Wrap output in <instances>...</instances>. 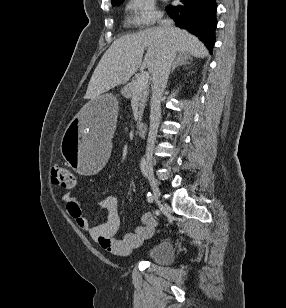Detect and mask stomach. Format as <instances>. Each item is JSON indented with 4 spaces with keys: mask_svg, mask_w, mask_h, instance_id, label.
Listing matches in <instances>:
<instances>
[{
    "mask_svg": "<svg viewBox=\"0 0 286 308\" xmlns=\"http://www.w3.org/2000/svg\"><path fill=\"white\" fill-rule=\"evenodd\" d=\"M118 97L107 93L91 97L72 122H65L64 140L59 149L66 164L79 174H100L111 156L110 133H119Z\"/></svg>",
    "mask_w": 286,
    "mask_h": 308,
    "instance_id": "obj_1",
    "label": "stomach"
}]
</instances>
